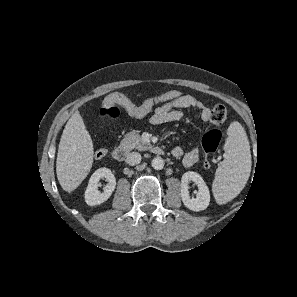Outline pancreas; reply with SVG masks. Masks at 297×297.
<instances>
[{
	"label": "pancreas",
	"instance_id": "pancreas-1",
	"mask_svg": "<svg viewBox=\"0 0 297 297\" xmlns=\"http://www.w3.org/2000/svg\"><path fill=\"white\" fill-rule=\"evenodd\" d=\"M121 146L127 151L134 148L143 151L149 148L148 144L143 141L140 135L136 132L127 133L121 141Z\"/></svg>",
	"mask_w": 297,
	"mask_h": 297
}]
</instances>
